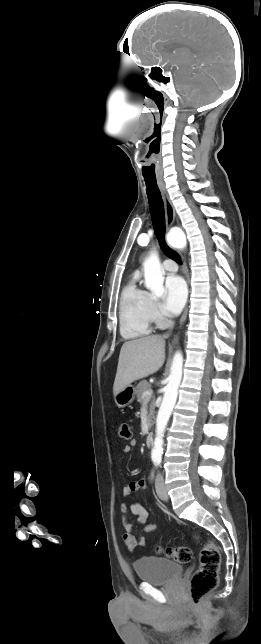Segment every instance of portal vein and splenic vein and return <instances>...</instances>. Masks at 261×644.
<instances>
[{
  "mask_svg": "<svg viewBox=\"0 0 261 644\" xmlns=\"http://www.w3.org/2000/svg\"><path fill=\"white\" fill-rule=\"evenodd\" d=\"M152 396V390H147L143 393V398L149 399Z\"/></svg>",
  "mask_w": 261,
  "mask_h": 644,
  "instance_id": "18ae733b",
  "label": "portal vein and splenic vein"
}]
</instances>
